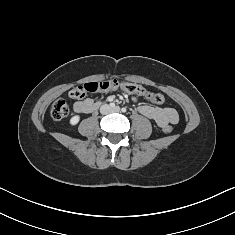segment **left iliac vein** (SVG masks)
<instances>
[{
  "label": "left iliac vein",
  "mask_w": 235,
  "mask_h": 235,
  "mask_svg": "<svg viewBox=\"0 0 235 235\" xmlns=\"http://www.w3.org/2000/svg\"><path fill=\"white\" fill-rule=\"evenodd\" d=\"M112 111H113V112H119V111H120V108H119V107H114V108L112 109Z\"/></svg>",
  "instance_id": "left-iliac-vein-1"
}]
</instances>
